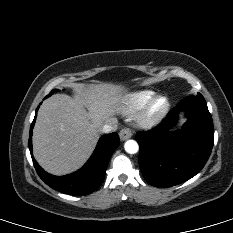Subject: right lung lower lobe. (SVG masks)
Returning <instances> with one entry per match:
<instances>
[{
  "instance_id": "1",
  "label": "right lung lower lobe",
  "mask_w": 233,
  "mask_h": 233,
  "mask_svg": "<svg viewBox=\"0 0 233 233\" xmlns=\"http://www.w3.org/2000/svg\"><path fill=\"white\" fill-rule=\"evenodd\" d=\"M36 116L37 112L30 127L29 149L39 177L51 188L70 195L84 196L98 189L103 182L109 159L120 143L118 134L113 132L101 137L92 156L80 170L57 177L45 172L32 155L31 136Z\"/></svg>"
}]
</instances>
